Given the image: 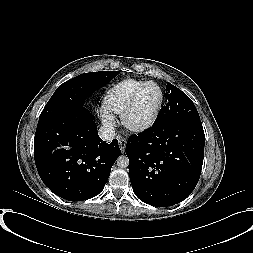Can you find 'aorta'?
Returning <instances> with one entry per match:
<instances>
[{
	"mask_svg": "<svg viewBox=\"0 0 253 253\" xmlns=\"http://www.w3.org/2000/svg\"><path fill=\"white\" fill-rule=\"evenodd\" d=\"M117 166L120 168H126L129 166V158L126 155H121L117 159Z\"/></svg>",
	"mask_w": 253,
	"mask_h": 253,
	"instance_id": "obj_1",
	"label": "aorta"
}]
</instances>
